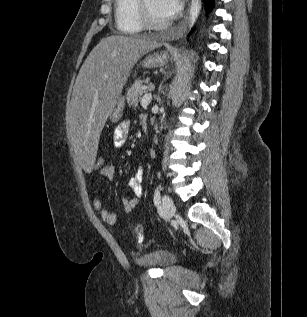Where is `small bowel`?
<instances>
[{"label": "small bowel", "mask_w": 307, "mask_h": 317, "mask_svg": "<svg viewBox=\"0 0 307 317\" xmlns=\"http://www.w3.org/2000/svg\"><path fill=\"white\" fill-rule=\"evenodd\" d=\"M129 121H122L115 129L113 133V142L116 148L123 147L129 137ZM100 175L106 179H113L115 176V166L113 163H107L101 170ZM144 179V169L142 167H138L135 171V174L131 177L128 182V185L133 193L132 197H123L121 199V206L126 213H130L133 211L138 203L139 199L143 195V187L142 182ZM97 184V180H93L92 186L95 187ZM93 207L100 214L101 219L113 225L118 221V215L108 211L101 199L99 197H95L93 199Z\"/></svg>", "instance_id": "1"}]
</instances>
